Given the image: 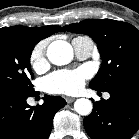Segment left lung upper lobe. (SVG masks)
Masks as SVG:
<instances>
[{"label":"left lung upper lobe","instance_id":"1","mask_svg":"<svg viewBox=\"0 0 139 139\" xmlns=\"http://www.w3.org/2000/svg\"><path fill=\"white\" fill-rule=\"evenodd\" d=\"M72 33L89 35L98 46L102 65L90 88L107 91L124 78L139 73V30L111 19H88L64 26Z\"/></svg>","mask_w":139,"mask_h":139}]
</instances>
